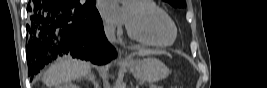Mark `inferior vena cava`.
I'll return each instance as SVG.
<instances>
[{"label": "inferior vena cava", "mask_w": 267, "mask_h": 88, "mask_svg": "<svg viewBox=\"0 0 267 88\" xmlns=\"http://www.w3.org/2000/svg\"><path fill=\"white\" fill-rule=\"evenodd\" d=\"M106 37L110 42H113L115 39V34H114V26L113 25H106L104 27Z\"/></svg>", "instance_id": "1"}]
</instances>
